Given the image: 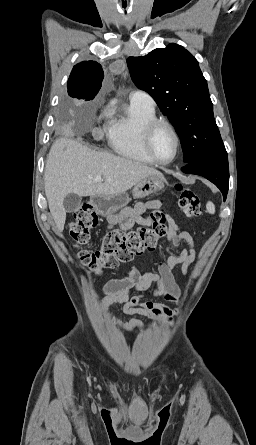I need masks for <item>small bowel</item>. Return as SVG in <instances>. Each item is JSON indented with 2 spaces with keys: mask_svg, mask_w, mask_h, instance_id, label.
Segmentation results:
<instances>
[{
  "mask_svg": "<svg viewBox=\"0 0 256 445\" xmlns=\"http://www.w3.org/2000/svg\"><path fill=\"white\" fill-rule=\"evenodd\" d=\"M160 206L161 203L156 200L137 204L129 213V217L120 223V228L128 230L135 224H148L149 219L141 217V214L148 209H156ZM181 242H186L189 249H178ZM167 246L168 250L175 251V253L163 256L157 264L156 272H147L141 276L137 269L132 267L126 277L108 281L104 286V291L107 294L105 305L121 303L122 311L127 315L138 314L163 323L169 322L176 310L163 304L143 301V294L150 292L167 301L177 302L181 292L172 270L177 265H181V273L186 276L190 265L195 261L196 250L192 235L188 231L180 229L173 221H169ZM133 293L136 294L132 295ZM115 324L123 331L140 330L142 327L141 321L137 318H131L126 322L115 321Z\"/></svg>",
  "mask_w": 256,
  "mask_h": 445,
  "instance_id": "obj_1",
  "label": "small bowel"
}]
</instances>
